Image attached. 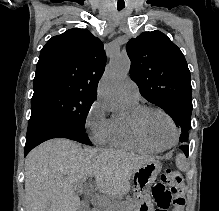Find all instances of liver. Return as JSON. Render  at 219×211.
<instances>
[{
  "label": "liver",
  "mask_w": 219,
  "mask_h": 211,
  "mask_svg": "<svg viewBox=\"0 0 219 211\" xmlns=\"http://www.w3.org/2000/svg\"><path fill=\"white\" fill-rule=\"evenodd\" d=\"M152 159L117 149H83L65 137L48 139L25 159L26 211H78L82 203L74 185L90 175L100 193L122 197L130 191L134 169Z\"/></svg>",
  "instance_id": "obj_1"
}]
</instances>
